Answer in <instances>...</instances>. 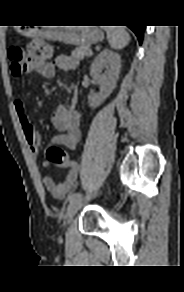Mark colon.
<instances>
[{
	"instance_id": "obj_1",
	"label": "colon",
	"mask_w": 184,
	"mask_h": 292,
	"mask_svg": "<svg viewBox=\"0 0 184 292\" xmlns=\"http://www.w3.org/2000/svg\"><path fill=\"white\" fill-rule=\"evenodd\" d=\"M51 56L50 46L43 41L31 42L27 49L12 46L8 49L11 61V72L14 77H20L34 66L46 62ZM46 158L50 163L64 165L72 161L69 154L59 146H50L46 151Z\"/></svg>"
}]
</instances>
